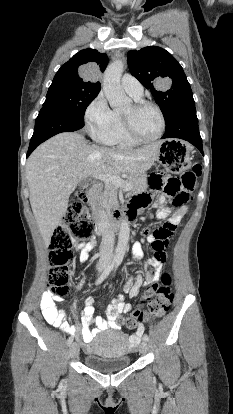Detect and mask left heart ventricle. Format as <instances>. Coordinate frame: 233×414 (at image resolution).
<instances>
[{
	"instance_id": "b2bd125f",
	"label": "left heart ventricle",
	"mask_w": 233,
	"mask_h": 414,
	"mask_svg": "<svg viewBox=\"0 0 233 414\" xmlns=\"http://www.w3.org/2000/svg\"><path fill=\"white\" fill-rule=\"evenodd\" d=\"M122 114L131 117L136 131L144 138H153L160 132L161 119L153 108L135 110L131 105Z\"/></svg>"
}]
</instances>
